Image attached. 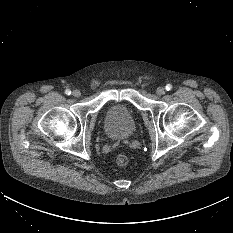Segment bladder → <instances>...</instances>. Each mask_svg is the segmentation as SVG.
I'll return each mask as SVG.
<instances>
[{"label":"bladder","instance_id":"bladder-1","mask_svg":"<svg viewBox=\"0 0 233 233\" xmlns=\"http://www.w3.org/2000/svg\"><path fill=\"white\" fill-rule=\"evenodd\" d=\"M136 129L134 115L125 103L116 102L110 104L105 112L104 130L112 139H126Z\"/></svg>","mask_w":233,"mask_h":233}]
</instances>
